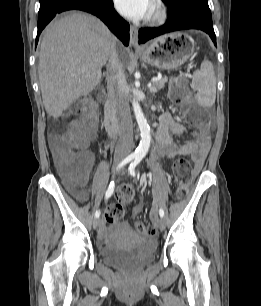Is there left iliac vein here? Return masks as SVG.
Here are the masks:
<instances>
[{"label":"left iliac vein","instance_id":"obj_1","mask_svg":"<svg viewBox=\"0 0 261 306\" xmlns=\"http://www.w3.org/2000/svg\"><path fill=\"white\" fill-rule=\"evenodd\" d=\"M155 225L159 228V229H164V227H165V222H164V220H163V218H157V219H155Z\"/></svg>","mask_w":261,"mask_h":306}]
</instances>
